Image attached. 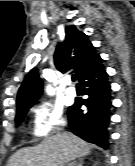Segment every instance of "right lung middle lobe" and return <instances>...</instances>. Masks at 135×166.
<instances>
[{"label":"right lung middle lobe","instance_id":"1","mask_svg":"<svg viewBox=\"0 0 135 166\" xmlns=\"http://www.w3.org/2000/svg\"><path fill=\"white\" fill-rule=\"evenodd\" d=\"M32 107V105L24 106L22 108L17 109V115H16V124H19L20 121L24 118L26 113L28 112L29 108Z\"/></svg>","mask_w":135,"mask_h":166}]
</instances>
